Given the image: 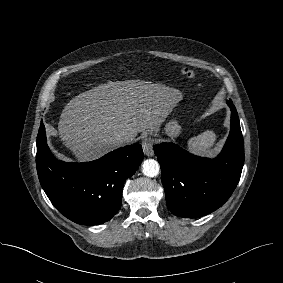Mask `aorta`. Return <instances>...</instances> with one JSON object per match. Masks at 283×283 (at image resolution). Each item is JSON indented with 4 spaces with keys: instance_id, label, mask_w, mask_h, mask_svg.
<instances>
[{
    "instance_id": "aorta-1",
    "label": "aorta",
    "mask_w": 283,
    "mask_h": 283,
    "mask_svg": "<svg viewBox=\"0 0 283 283\" xmlns=\"http://www.w3.org/2000/svg\"><path fill=\"white\" fill-rule=\"evenodd\" d=\"M159 163L154 159H147L142 164V172L148 177H155L159 174Z\"/></svg>"
}]
</instances>
